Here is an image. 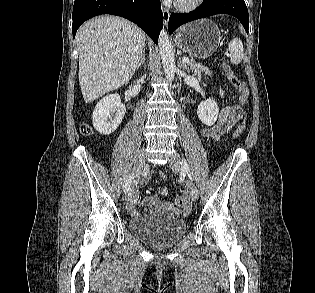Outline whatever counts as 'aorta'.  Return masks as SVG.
Instances as JSON below:
<instances>
[{
  "label": "aorta",
  "mask_w": 315,
  "mask_h": 293,
  "mask_svg": "<svg viewBox=\"0 0 315 293\" xmlns=\"http://www.w3.org/2000/svg\"><path fill=\"white\" fill-rule=\"evenodd\" d=\"M158 46L166 78L172 81L176 71L175 57L172 43L164 29L160 32Z\"/></svg>",
  "instance_id": "762f6f07"
}]
</instances>
